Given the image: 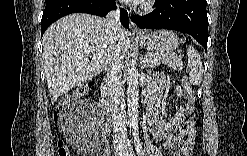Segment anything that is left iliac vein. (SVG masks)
Returning a JSON list of instances; mask_svg holds the SVG:
<instances>
[{
    "mask_svg": "<svg viewBox=\"0 0 247 156\" xmlns=\"http://www.w3.org/2000/svg\"><path fill=\"white\" fill-rule=\"evenodd\" d=\"M124 154H125V155H130V156L134 155L133 149H132L131 145L129 144V142H128L127 145L124 147Z\"/></svg>",
    "mask_w": 247,
    "mask_h": 156,
    "instance_id": "4c4485c4",
    "label": "left iliac vein"
}]
</instances>
